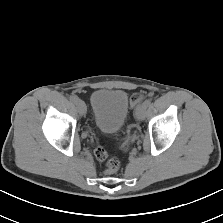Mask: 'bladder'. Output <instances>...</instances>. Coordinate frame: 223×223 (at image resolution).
I'll list each match as a JSON object with an SVG mask.
<instances>
[{"mask_svg": "<svg viewBox=\"0 0 223 223\" xmlns=\"http://www.w3.org/2000/svg\"><path fill=\"white\" fill-rule=\"evenodd\" d=\"M90 103L95 124L101 131L111 134L123 128L129 113V97L125 90L96 89Z\"/></svg>", "mask_w": 223, "mask_h": 223, "instance_id": "obj_1", "label": "bladder"}]
</instances>
